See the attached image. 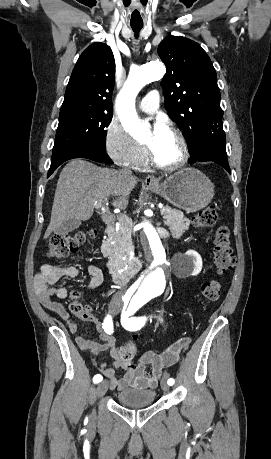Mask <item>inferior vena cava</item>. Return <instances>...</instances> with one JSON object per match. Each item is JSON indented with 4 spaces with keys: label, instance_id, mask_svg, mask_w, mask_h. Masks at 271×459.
<instances>
[{
    "label": "inferior vena cava",
    "instance_id": "obj_1",
    "mask_svg": "<svg viewBox=\"0 0 271 459\" xmlns=\"http://www.w3.org/2000/svg\"><path fill=\"white\" fill-rule=\"evenodd\" d=\"M122 172L123 174H131L130 168H124ZM122 293H124V289H120V291H117L116 295H122Z\"/></svg>",
    "mask_w": 271,
    "mask_h": 459
}]
</instances>
